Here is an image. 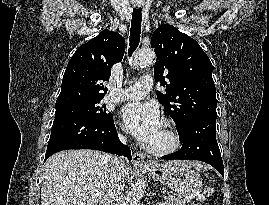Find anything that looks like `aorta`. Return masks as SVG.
I'll return each instance as SVG.
<instances>
[{
	"instance_id": "aorta-1",
	"label": "aorta",
	"mask_w": 269,
	"mask_h": 205,
	"mask_svg": "<svg viewBox=\"0 0 269 205\" xmlns=\"http://www.w3.org/2000/svg\"><path fill=\"white\" fill-rule=\"evenodd\" d=\"M156 54L151 49L139 50L132 61L134 67L144 66L154 63ZM146 184L144 179H138L133 183L131 191L124 198L122 205H139V202L144 194Z\"/></svg>"
}]
</instances>
